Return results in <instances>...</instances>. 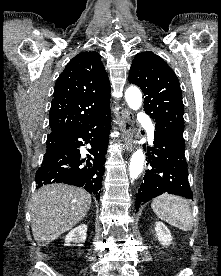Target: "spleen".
<instances>
[{"instance_id":"obj_1","label":"spleen","mask_w":221,"mask_h":276,"mask_svg":"<svg viewBox=\"0 0 221 276\" xmlns=\"http://www.w3.org/2000/svg\"><path fill=\"white\" fill-rule=\"evenodd\" d=\"M151 208L158 218L182 231H191L193 216L186 199L170 194H163L155 198Z\"/></svg>"}]
</instances>
